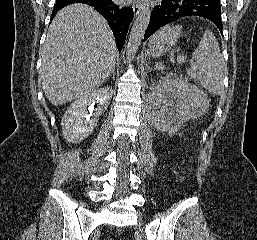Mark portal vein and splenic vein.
<instances>
[{
    "label": "portal vein and splenic vein",
    "mask_w": 257,
    "mask_h": 240,
    "mask_svg": "<svg viewBox=\"0 0 257 240\" xmlns=\"http://www.w3.org/2000/svg\"><path fill=\"white\" fill-rule=\"evenodd\" d=\"M184 60H185V57H184V56H178V57H177V61H178L179 63H183ZM191 62H192V60H191Z\"/></svg>",
    "instance_id": "18ae733b"
}]
</instances>
